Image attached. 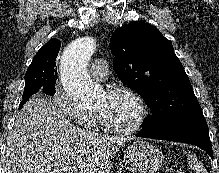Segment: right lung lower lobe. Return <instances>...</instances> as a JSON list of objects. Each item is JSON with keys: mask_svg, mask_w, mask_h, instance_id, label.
I'll return each mask as SVG.
<instances>
[{"mask_svg": "<svg viewBox=\"0 0 219 173\" xmlns=\"http://www.w3.org/2000/svg\"><path fill=\"white\" fill-rule=\"evenodd\" d=\"M29 98H30V97L24 98V99L22 100V102L20 103L19 109L26 103V101H27Z\"/></svg>", "mask_w": 219, "mask_h": 173, "instance_id": "obj_1", "label": "right lung lower lobe"}]
</instances>
